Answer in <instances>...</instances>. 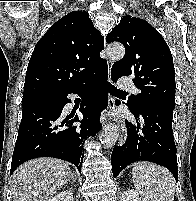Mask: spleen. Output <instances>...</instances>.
Returning a JSON list of instances; mask_svg holds the SVG:
<instances>
[{"instance_id":"obj_1","label":"spleen","mask_w":196,"mask_h":201,"mask_svg":"<svg viewBox=\"0 0 196 201\" xmlns=\"http://www.w3.org/2000/svg\"><path fill=\"white\" fill-rule=\"evenodd\" d=\"M132 177L144 201H174L175 180L167 169L141 163L133 168Z\"/></svg>"}]
</instances>
